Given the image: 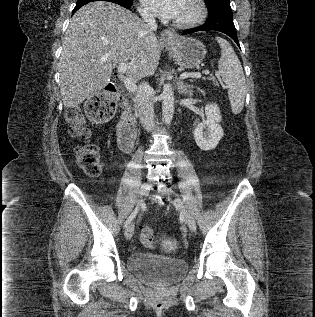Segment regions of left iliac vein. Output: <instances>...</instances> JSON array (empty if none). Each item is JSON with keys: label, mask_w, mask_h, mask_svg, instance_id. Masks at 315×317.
<instances>
[{"label": "left iliac vein", "mask_w": 315, "mask_h": 317, "mask_svg": "<svg viewBox=\"0 0 315 317\" xmlns=\"http://www.w3.org/2000/svg\"><path fill=\"white\" fill-rule=\"evenodd\" d=\"M161 194L167 197H173V204L174 206L181 212V215L183 216L188 228L191 232L196 231V222L191 213L185 208L183 201L181 198L174 193V191L171 188H168L167 186H163L161 189Z\"/></svg>", "instance_id": "obj_1"}]
</instances>
